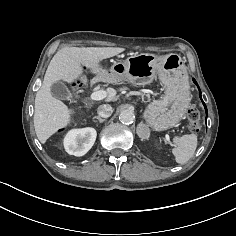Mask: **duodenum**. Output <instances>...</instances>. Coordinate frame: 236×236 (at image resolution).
I'll list each match as a JSON object with an SVG mask.
<instances>
[{
	"label": "duodenum",
	"mask_w": 236,
	"mask_h": 236,
	"mask_svg": "<svg viewBox=\"0 0 236 236\" xmlns=\"http://www.w3.org/2000/svg\"><path fill=\"white\" fill-rule=\"evenodd\" d=\"M89 90H90V91H93V90H94V85H93V84H90V85H89Z\"/></svg>",
	"instance_id": "obj_1"
}]
</instances>
